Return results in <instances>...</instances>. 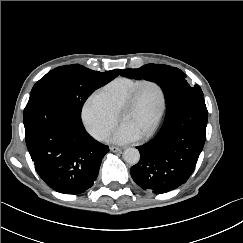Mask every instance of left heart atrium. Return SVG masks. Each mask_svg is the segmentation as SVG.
<instances>
[{
	"label": "left heart atrium",
	"instance_id": "obj_1",
	"mask_svg": "<svg viewBox=\"0 0 243 243\" xmlns=\"http://www.w3.org/2000/svg\"><path fill=\"white\" fill-rule=\"evenodd\" d=\"M140 134L129 125L122 123L110 137L114 143L124 144L137 140Z\"/></svg>",
	"mask_w": 243,
	"mask_h": 243
}]
</instances>
